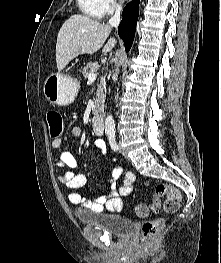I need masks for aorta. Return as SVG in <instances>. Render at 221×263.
Masks as SVG:
<instances>
[{"instance_id": "762f6f07", "label": "aorta", "mask_w": 221, "mask_h": 263, "mask_svg": "<svg viewBox=\"0 0 221 263\" xmlns=\"http://www.w3.org/2000/svg\"><path fill=\"white\" fill-rule=\"evenodd\" d=\"M117 73L113 75V78H116ZM105 133L107 135L115 134V121L112 115H107L105 118Z\"/></svg>"}]
</instances>
